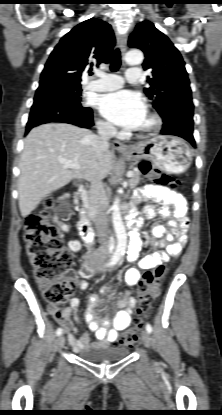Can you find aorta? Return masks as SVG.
<instances>
[{
  "label": "aorta",
  "instance_id": "obj_1",
  "mask_svg": "<svg viewBox=\"0 0 222 415\" xmlns=\"http://www.w3.org/2000/svg\"><path fill=\"white\" fill-rule=\"evenodd\" d=\"M143 58V53L139 50H131L125 55V61L129 65H139ZM111 209L112 223L117 238V247L112 257V263H117L127 248V233L120 212L119 199H115Z\"/></svg>",
  "mask_w": 222,
  "mask_h": 415
}]
</instances>
